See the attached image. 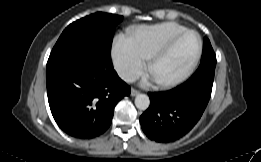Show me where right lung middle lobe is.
<instances>
[{"label":"right lung middle lobe","instance_id":"right-lung-middle-lobe-1","mask_svg":"<svg viewBox=\"0 0 261 162\" xmlns=\"http://www.w3.org/2000/svg\"><path fill=\"white\" fill-rule=\"evenodd\" d=\"M121 20L120 15L102 12L79 19L63 31L52 51L81 44H91L110 51L115 28Z\"/></svg>","mask_w":261,"mask_h":162}]
</instances>
